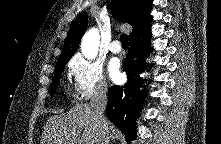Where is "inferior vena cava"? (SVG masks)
Listing matches in <instances>:
<instances>
[{
  "mask_svg": "<svg viewBox=\"0 0 221 144\" xmlns=\"http://www.w3.org/2000/svg\"><path fill=\"white\" fill-rule=\"evenodd\" d=\"M108 88L106 85H100L90 100V107L93 111L95 120L99 125L98 144H109V130L108 123L104 116V111L108 102Z\"/></svg>",
  "mask_w": 221,
  "mask_h": 144,
  "instance_id": "obj_1",
  "label": "inferior vena cava"
}]
</instances>
